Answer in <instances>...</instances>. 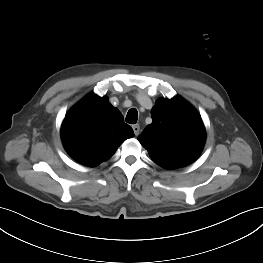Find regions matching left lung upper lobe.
<instances>
[{"instance_id": "5c2ea615", "label": "left lung upper lobe", "mask_w": 263, "mask_h": 263, "mask_svg": "<svg viewBox=\"0 0 263 263\" xmlns=\"http://www.w3.org/2000/svg\"><path fill=\"white\" fill-rule=\"evenodd\" d=\"M152 123L138 140L151 159L165 169L193 162L205 143V127L198 112L180 96L159 99L151 110Z\"/></svg>"}]
</instances>
